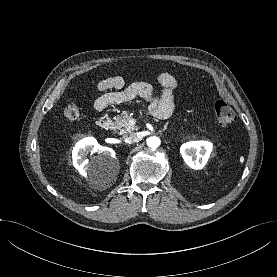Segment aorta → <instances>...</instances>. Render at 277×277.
<instances>
[{
    "label": "aorta",
    "instance_id": "1",
    "mask_svg": "<svg viewBox=\"0 0 277 277\" xmlns=\"http://www.w3.org/2000/svg\"><path fill=\"white\" fill-rule=\"evenodd\" d=\"M147 145L150 148H157L160 146V139L157 136H152L147 139Z\"/></svg>",
    "mask_w": 277,
    "mask_h": 277
}]
</instances>
